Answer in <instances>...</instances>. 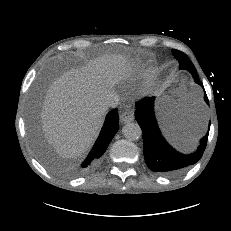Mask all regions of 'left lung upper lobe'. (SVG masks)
Wrapping results in <instances>:
<instances>
[{
    "instance_id": "left-lung-upper-lobe-1",
    "label": "left lung upper lobe",
    "mask_w": 231,
    "mask_h": 231,
    "mask_svg": "<svg viewBox=\"0 0 231 231\" xmlns=\"http://www.w3.org/2000/svg\"><path fill=\"white\" fill-rule=\"evenodd\" d=\"M172 53L175 56V58L179 61L180 69H186L193 75V78H199L194 65L189 60L186 54L175 49L172 50Z\"/></svg>"
}]
</instances>
